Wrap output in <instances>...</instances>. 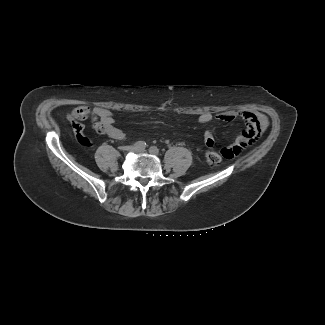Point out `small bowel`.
Wrapping results in <instances>:
<instances>
[{"instance_id": "1", "label": "small bowel", "mask_w": 325, "mask_h": 325, "mask_svg": "<svg viewBox=\"0 0 325 325\" xmlns=\"http://www.w3.org/2000/svg\"><path fill=\"white\" fill-rule=\"evenodd\" d=\"M219 121L230 123L236 119H240L244 123V128L240 134L235 137L234 142L221 149L224 158L231 159L239 155L242 151L250 147L258 135L268 126V119L261 113L252 111L223 112L216 117ZM90 120L92 128L100 133L109 136L112 139L122 141L126 138L125 133L115 126V120L112 112L104 107L89 108L85 106L74 109L69 115L74 133L78 141L89 146L90 142L85 136L84 126L85 120ZM213 120V115L209 112H203L198 116V122L206 125ZM215 136L212 131L207 130L204 134V144L208 148L215 145Z\"/></svg>"}]
</instances>
